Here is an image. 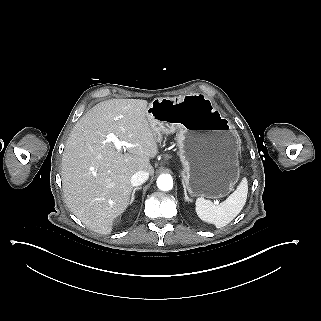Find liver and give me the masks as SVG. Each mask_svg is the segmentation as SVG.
I'll use <instances>...</instances> for the list:
<instances>
[{
	"label": "liver",
	"instance_id": "obj_1",
	"mask_svg": "<svg viewBox=\"0 0 321 321\" xmlns=\"http://www.w3.org/2000/svg\"><path fill=\"white\" fill-rule=\"evenodd\" d=\"M145 99H112L90 109L74 126L62 156V183L68 208L89 229L110 234L130 204L131 177L150 176V159L159 154ZM137 147L117 148L106 137Z\"/></svg>",
	"mask_w": 321,
	"mask_h": 321
}]
</instances>
